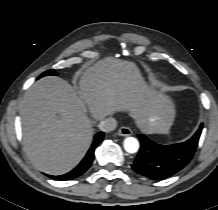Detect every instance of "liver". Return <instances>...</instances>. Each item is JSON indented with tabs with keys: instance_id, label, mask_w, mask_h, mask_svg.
<instances>
[{
	"instance_id": "6515ba94",
	"label": "liver",
	"mask_w": 218,
	"mask_h": 210,
	"mask_svg": "<svg viewBox=\"0 0 218 210\" xmlns=\"http://www.w3.org/2000/svg\"><path fill=\"white\" fill-rule=\"evenodd\" d=\"M80 91L51 76L35 82L20 105L23 144L39 170L61 175L86 154L96 120L128 111L146 133L166 132L175 118L172 101L150 88L133 62L107 57L81 75Z\"/></svg>"
}]
</instances>
